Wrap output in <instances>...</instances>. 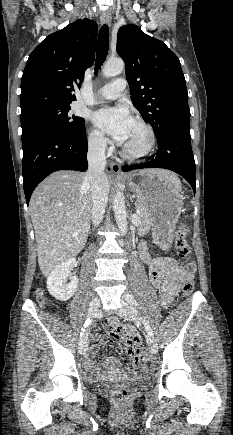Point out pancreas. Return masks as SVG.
<instances>
[{"label":"pancreas","mask_w":233,"mask_h":435,"mask_svg":"<svg viewBox=\"0 0 233 435\" xmlns=\"http://www.w3.org/2000/svg\"><path fill=\"white\" fill-rule=\"evenodd\" d=\"M136 208L140 211V214L138 215V219L140 221L138 233H139V235H145L146 233L149 232L150 227H151V223H150V220H149L148 214H147V209L141 203H138L136 205Z\"/></svg>","instance_id":"cf45deb5"}]
</instances>
